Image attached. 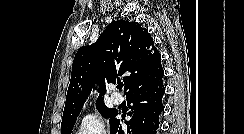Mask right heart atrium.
<instances>
[{
	"instance_id": "obj_1",
	"label": "right heart atrium",
	"mask_w": 244,
	"mask_h": 134,
	"mask_svg": "<svg viewBox=\"0 0 244 134\" xmlns=\"http://www.w3.org/2000/svg\"><path fill=\"white\" fill-rule=\"evenodd\" d=\"M75 134H108V125L102 114L90 112L81 118Z\"/></svg>"
}]
</instances>
